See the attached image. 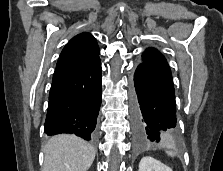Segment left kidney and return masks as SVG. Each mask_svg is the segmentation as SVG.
Wrapping results in <instances>:
<instances>
[{
  "label": "left kidney",
  "mask_w": 223,
  "mask_h": 171,
  "mask_svg": "<svg viewBox=\"0 0 223 171\" xmlns=\"http://www.w3.org/2000/svg\"><path fill=\"white\" fill-rule=\"evenodd\" d=\"M139 171H172V169L150 156H145L139 163Z\"/></svg>",
  "instance_id": "1"
}]
</instances>
